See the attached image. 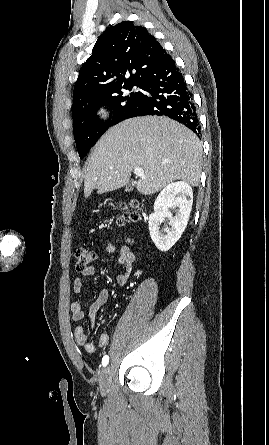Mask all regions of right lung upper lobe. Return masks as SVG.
<instances>
[{"instance_id":"obj_1","label":"right lung upper lobe","mask_w":269,"mask_h":445,"mask_svg":"<svg viewBox=\"0 0 269 445\" xmlns=\"http://www.w3.org/2000/svg\"><path fill=\"white\" fill-rule=\"evenodd\" d=\"M169 57L145 27L131 21L110 26L79 71L72 108L124 85L140 83L151 69ZM126 73H130L129 78Z\"/></svg>"}]
</instances>
